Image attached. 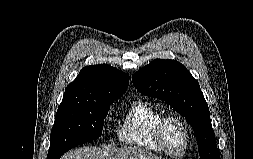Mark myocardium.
Returning <instances> with one entry per match:
<instances>
[{
  "label": "myocardium",
  "mask_w": 253,
  "mask_h": 159,
  "mask_svg": "<svg viewBox=\"0 0 253 159\" xmlns=\"http://www.w3.org/2000/svg\"><path fill=\"white\" fill-rule=\"evenodd\" d=\"M169 121H175L177 122L182 130H183V134H184V145L183 148L181 149L180 152H172L170 151L165 143H164V128L166 126V124ZM154 140L157 144V146L160 148V150H162L163 152H165L166 154H168L169 156L172 157H181L182 155L185 154L188 146H189V142H190V134H189V129L188 126L186 124V122L183 120V118H181L180 116L176 115V114H166L163 115L159 121L156 123L155 128H154Z\"/></svg>",
  "instance_id": "f54148a6"
}]
</instances>
